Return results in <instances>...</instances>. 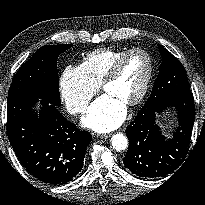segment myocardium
<instances>
[{"label":"myocardium","instance_id":"f54148a6","mask_svg":"<svg viewBox=\"0 0 205 205\" xmlns=\"http://www.w3.org/2000/svg\"><path fill=\"white\" fill-rule=\"evenodd\" d=\"M137 53L144 54L147 57V59L149 61V69H148L146 79L144 81V84H143L140 92L138 93V95L134 99H132L131 101H129L126 104L127 107H132V106H136V105L140 104L143 101V99L145 98V96L147 95L148 90L150 88V85H151V82L153 79V75H154L155 64H154L153 56L147 50L142 49V48H134V49H130V50L126 51L122 56H120L114 62V64L111 66V68L108 71V73L106 74V76L102 79V81L99 84L100 90L103 91L104 88L109 83H111L112 81H114L118 77L124 62L130 56L137 54Z\"/></svg>","mask_w":205,"mask_h":205}]
</instances>
